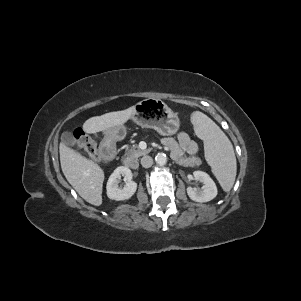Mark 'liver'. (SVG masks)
<instances>
[{
    "label": "liver",
    "instance_id": "liver-1",
    "mask_svg": "<svg viewBox=\"0 0 301 301\" xmlns=\"http://www.w3.org/2000/svg\"><path fill=\"white\" fill-rule=\"evenodd\" d=\"M134 113V107H130L122 111L91 117L85 121L83 129L87 133L94 134L120 128ZM59 152L61 169L67 181L85 201L100 206L104 181V172L101 167L64 143H60Z\"/></svg>",
    "mask_w": 301,
    "mask_h": 301
}]
</instances>
